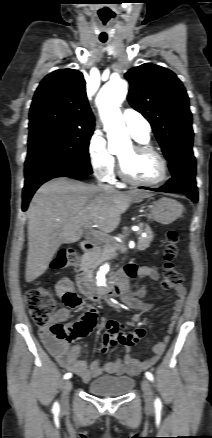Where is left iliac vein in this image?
<instances>
[{"label":"left iliac vein","instance_id":"left-iliac-vein-1","mask_svg":"<svg viewBox=\"0 0 212 438\" xmlns=\"http://www.w3.org/2000/svg\"><path fill=\"white\" fill-rule=\"evenodd\" d=\"M142 390L144 392V399L147 408H152L154 406V396L151 383L148 379H143Z\"/></svg>","mask_w":212,"mask_h":438}]
</instances>
